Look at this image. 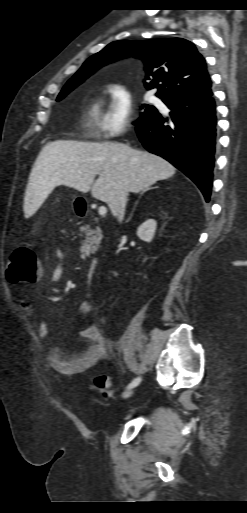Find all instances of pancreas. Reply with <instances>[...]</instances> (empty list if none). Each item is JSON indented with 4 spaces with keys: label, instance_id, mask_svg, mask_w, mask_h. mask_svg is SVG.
<instances>
[{
    "label": "pancreas",
    "instance_id": "cf45deb5",
    "mask_svg": "<svg viewBox=\"0 0 247 513\" xmlns=\"http://www.w3.org/2000/svg\"><path fill=\"white\" fill-rule=\"evenodd\" d=\"M81 235L85 236L81 247V257H88L91 253H95L102 239V232L99 226L91 229L89 224L80 227Z\"/></svg>",
    "mask_w": 247,
    "mask_h": 513
}]
</instances>
